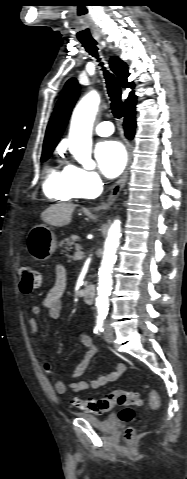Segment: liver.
<instances>
[{"label":"liver","instance_id":"6515ba94","mask_svg":"<svg viewBox=\"0 0 187 479\" xmlns=\"http://www.w3.org/2000/svg\"><path fill=\"white\" fill-rule=\"evenodd\" d=\"M75 208L71 203L52 204L41 213V219L49 225L62 227L71 222Z\"/></svg>","mask_w":187,"mask_h":479}]
</instances>
